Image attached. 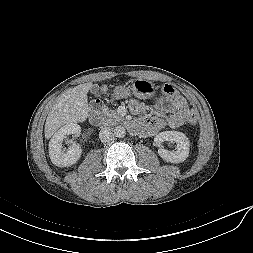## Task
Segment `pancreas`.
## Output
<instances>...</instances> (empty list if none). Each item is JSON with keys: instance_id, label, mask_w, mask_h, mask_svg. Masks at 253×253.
<instances>
[{"instance_id": "1", "label": "pancreas", "mask_w": 253, "mask_h": 253, "mask_svg": "<svg viewBox=\"0 0 253 253\" xmlns=\"http://www.w3.org/2000/svg\"><path fill=\"white\" fill-rule=\"evenodd\" d=\"M100 116L104 125H117L120 121H122L121 116H119L114 110L107 107L102 109Z\"/></svg>"}]
</instances>
